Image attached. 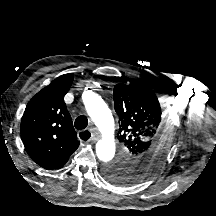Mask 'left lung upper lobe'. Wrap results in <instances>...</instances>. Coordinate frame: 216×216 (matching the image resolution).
Wrapping results in <instances>:
<instances>
[{
	"mask_svg": "<svg viewBox=\"0 0 216 216\" xmlns=\"http://www.w3.org/2000/svg\"><path fill=\"white\" fill-rule=\"evenodd\" d=\"M113 95L122 149L103 173L112 183L134 184L152 174L168 156L172 145L170 118L148 82L117 84Z\"/></svg>",
	"mask_w": 216,
	"mask_h": 216,
	"instance_id": "obj_1",
	"label": "left lung upper lobe"
}]
</instances>
